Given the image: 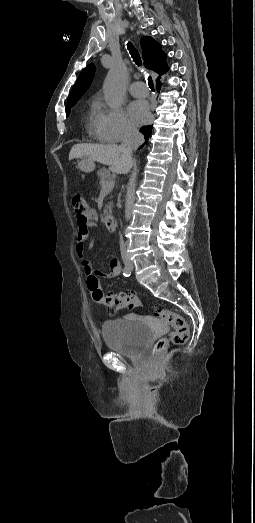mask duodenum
Wrapping results in <instances>:
<instances>
[{
  "mask_svg": "<svg viewBox=\"0 0 255 523\" xmlns=\"http://www.w3.org/2000/svg\"><path fill=\"white\" fill-rule=\"evenodd\" d=\"M105 225L108 230L114 231L116 228V222L113 215H107L104 219Z\"/></svg>",
  "mask_w": 255,
  "mask_h": 523,
  "instance_id": "duodenum-1",
  "label": "duodenum"
}]
</instances>
